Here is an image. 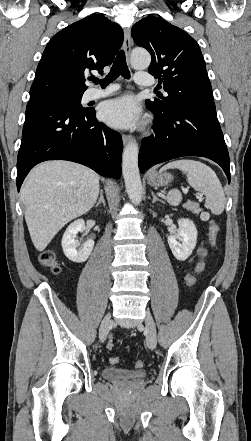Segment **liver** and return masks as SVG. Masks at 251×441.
<instances>
[{
    "label": "liver",
    "mask_w": 251,
    "mask_h": 441,
    "mask_svg": "<svg viewBox=\"0 0 251 441\" xmlns=\"http://www.w3.org/2000/svg\"><path fill=\"white\" fill-rule=\"evenodd\" d=\"M99 189V175L83 165L47 161L34 167L20 195L35 248L42 252L65 224L87 213Z\"/></svg>",
    "instance_id": "1"
}]
</instances>
